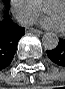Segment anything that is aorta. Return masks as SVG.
Returning <instances> with one entry per match:
<instances>
[{"mask_svg":"<svg viewBox=\"0 0 65 89\" xmlns=\"http://www.w3.org/2000/svg\"><path fill=\"white\" fill-rule=\"evenodd\" d=\"M58 36L55 33L47 32L43 35L42 43L46 50H53L58 46Z\"/></svg>","mask_w":65,"mask_h":89,"instance_id":"762f6f07","label":"aorta"}]
</instances>
